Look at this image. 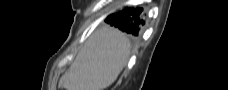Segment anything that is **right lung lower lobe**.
<instances>
[{"mask_svg":"<svg viewBox=\"0 0 228 90\" xmlns=\"http://www.w3.org/2000/svg\"><path fill=\"white\" fill-rule=\"evenodd\" d=\"M141 12L142 8H127L124 11L109 15L105 22L109 23L111 26L119 28L133 37H138L140 34V28L145 23L140 16Z\"/></svg>","mask_w":228,"mask_h":90,"instance_id":"obj_1","label":"right lung lower lobe"}]
</instances>
